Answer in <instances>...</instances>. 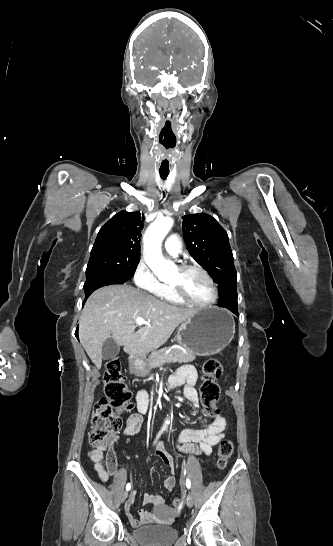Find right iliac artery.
<instances>
[{
  "mask_svg": "<svg viewBox=\"0 0 333 546\" xmlns=\"http://www.w3.org/2000/svg\"><path fill=\"white\" fill-rule=\"evenodd\" d=\"M160 435H161V432L157 435L156 441L158 440V438L160 437ZM130 489H131V484L128 483V484L126 485V490L129 491Z\"/></svg>",
  "mask_w": 333,
  "mask_h": 546,
  "instance_id": "1",
  "label": "right iliac artery"
}]
</instances>
